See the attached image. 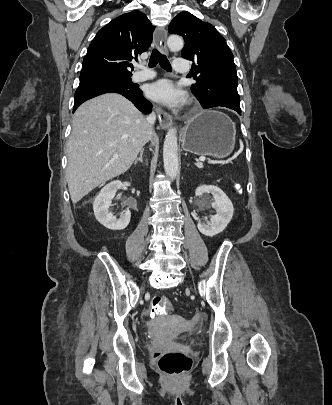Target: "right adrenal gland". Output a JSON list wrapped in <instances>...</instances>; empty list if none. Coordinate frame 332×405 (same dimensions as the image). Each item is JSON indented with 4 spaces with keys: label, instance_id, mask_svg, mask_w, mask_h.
I'll return each mask as SVG.
<instances>
[{
    "label": "right adrenal gland",
    "instance_id": "1",
    "mask_svg": "<svg viewBox=\"0 0 332 405\" xmlns=\"http://www.w3.org/2000/svg\"><path fill=\"white\" fill-rule=\"evenodd\" d=\"M143 153H144V149H141L140 155L138 158H136L134 164H137L138 161L143 162Z\"/></svg>",
    "mask_w": 332,
    "mask_h": 405
}]
</instances>
